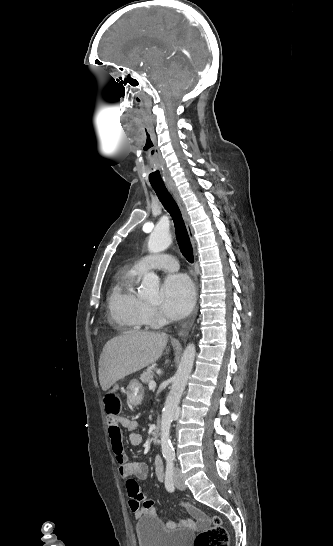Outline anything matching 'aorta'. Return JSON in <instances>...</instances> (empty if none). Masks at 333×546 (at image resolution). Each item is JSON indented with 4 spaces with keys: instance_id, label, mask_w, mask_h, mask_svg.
<instances>
[{
    "instance_id": "1",
    "label": "aorta",
    "mask_w": 333,
    "mask_h": 546,
    "mask_svg": "<svg viewBox=\"0 0 333 546\" xmlns=\"http://www.w3.org/2000/svg\"><path fill=\"white\" fill-rule=\"evenodd\" d=\"M172 238L169 230L156 227L148 240V250L151 253L165 251L171 244ZM142 293L150 300L158 298L159 277L154 272L146 273L141 283ZM196 349L194 344H189L183 353L177 372L172 378V386L167 396L161 420V450L163 455L173 453V445L170 440V428L181 396L191 374L195 359Z\"/></svg>"
}]
</instances>
